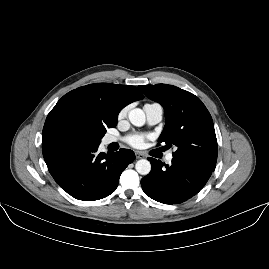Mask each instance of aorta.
Segmentation results:
<instances>
[{"instance_id":"obj_1","label":"aorta","mask_w":269,"mask_h":269,"mask_svg":"<svg viewBox=\"0 0 269 269\" xmlns=\"http://www.w3.org/2000/svg\"><path fill=\"white\" fill-rule=\"evenodd\" d=\"M130 122L136 127L144 126L146 116L142 109L135 108L128 113ZM136 171L141 175H147L151 171V164L147 159H140L135 164Z\"/></svg>"}]
</instances>
